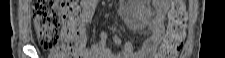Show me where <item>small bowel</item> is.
I'll list each match as a JSON object with an SVG mask.
<instances>
[{
    "mask_svg": "<svg viewBox=\"0 0 225 58\" xmlns=\"http://www.w3.org/2000/svg\"><path fill=\"white\" fill-rule=\"evenodd\" d=\"M98 2V0H87L81 3L82 12L79 33L75 42L77 58H139L153 57L156 54L163 34L165 14L170 6V0H157L152 4L155 10V15L148 25L149 37L143 43L138 52L144 54V56H138L132 43L123 42L117 30L113 34L114 44L120 47V50L117 53L107 46L106 32L100 33L98 41L92 44L89 48L86 47L88 26L92 22ZM128 4V2L125 3V5Z\"/></svg>",
    "mask_w": 225,
    "mask_h": 58,
    "instance_id": "c3829d8e",
    "label": "small bowel"
}]
</instances>
